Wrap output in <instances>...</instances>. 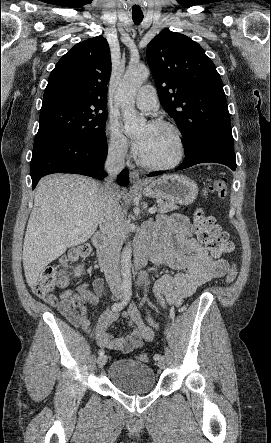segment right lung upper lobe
Instances as JSON below:
<instances>
[{"instance_id": "cb5924a9", "label": "right lung upper lobe", "mask_w": 271, "mask_h": 443, "mask_svg": "<svg viewBox=\"0 0 271 443\" xmlns=\"http://www.w3.org/2000/svg\"><path fill=\"white\" fill-rule=\"evenodd\" d=\"M110 72L107 40L99 36L80 42L61 57L51 72L43 103L71 99L106 106Z\"/></svg>"}]
</instances>
